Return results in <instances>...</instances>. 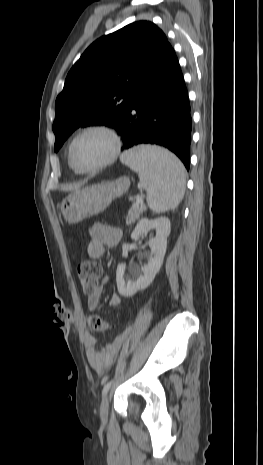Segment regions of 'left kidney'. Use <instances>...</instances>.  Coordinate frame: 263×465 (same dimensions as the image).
<instances>
[{
  "mask_svg": "<svg viewBox=\"0 0 263 465\" xmlns=\"http://www.w3.org/2000/svg\"><path fill=\"white\" fill-rule=\"evenodd\" d=\"M149 230H155L156 235L149 242L151 256L148 259V263L141 268V273L135 279L125 281V265L119 264L117 267V288L120 295L124 297L133 296L138 290L147 288L163 264L167 248V238L170 234V221L165 217L156 219L143 218L136 225L131 238L137 240L144 232Z\"/></svg>",
  "mask_w": 263,
  "mask_h": 465,
  "instance_id": "obj_1",
  "label": "left kidney"
}]
</instances>
